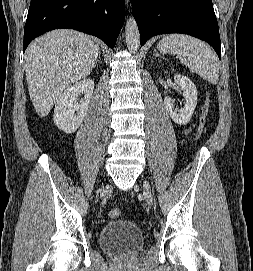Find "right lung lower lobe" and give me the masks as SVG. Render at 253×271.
<instances>
[{
  "instance_id": "obj_1",
  "label": "right lung lower lobe",
  "mask_w": 253,
  "mask_h": 271,
  "mask_svg": "<svg viewBox=\"0 0 253 271\" xmlns=\"http://www.w3.org/2000/svg\"><path fill=\"white\" fill-rule=\"evenodd\" d=\"M124 19V0H31L23 51L34 38L59 28L94 35L113 48Z\"/></svg>"
}]
</instances>
